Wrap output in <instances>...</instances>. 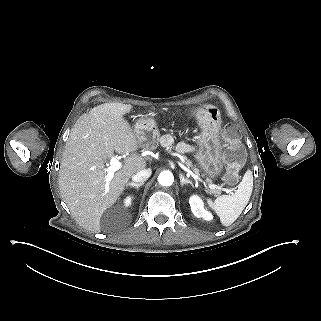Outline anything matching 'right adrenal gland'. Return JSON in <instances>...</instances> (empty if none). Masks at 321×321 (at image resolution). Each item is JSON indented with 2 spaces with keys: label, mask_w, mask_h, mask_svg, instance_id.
<instances>
[{
  "label": "right adrenal gland",
  "mask_w": 321,
  "mask_h": 321,
  "mask_svg": "<svg viewBox=\"0 0 321 321\" xmlns=\"http://www.w3.org/2000/svg\"><path fill=\"white\" fill-rule=\"evenodd\" d=\"M144 185V182L143 183H128L126 184V188H135L137 191L140 190V187Z\"/></svg>",
  "instance_id": "1"
}]
</instances>
